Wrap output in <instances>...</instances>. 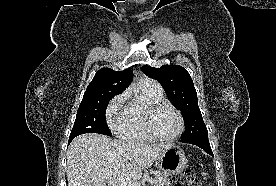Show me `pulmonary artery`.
<instances>
[{
    "mask_svg": "<svg viewBox=\"0 0 276 186\" xmlns=\"http://www.w3.org/2000/svg\"><path fill=\"white\" fill-rule=\"evenodd\" d=\"M146 80H149V81H151V82H154V83H156L155 81H153V80H150V79H146Z\"/></svg>",
    "mask_w": 276,
    "mask_h": 186,
    "instance_id": "1",
    "label": "pulmonary artery"
}]
</instances>
